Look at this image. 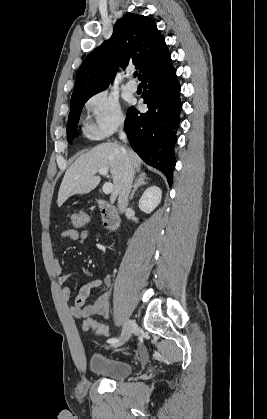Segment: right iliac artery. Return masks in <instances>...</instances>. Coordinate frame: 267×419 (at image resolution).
Masks as SVG:
<instances>
[{
	"mask_svg": "<svg viewBox=\"0 0 267 419\" xmlns=\"http://www.w3.org/2000/svg\"><path fill=\"white\" fill-rule=\"evenodd\" d=\"M118 341H119L118 338H110L107 342L111 343V344H114V343H117Z\"/></svg>",
	"mask_w": 267,
	"mask_h": 419,
	"instance_id": "82829eb1",
	"label": "right iliac artery"
}]
</instances>
